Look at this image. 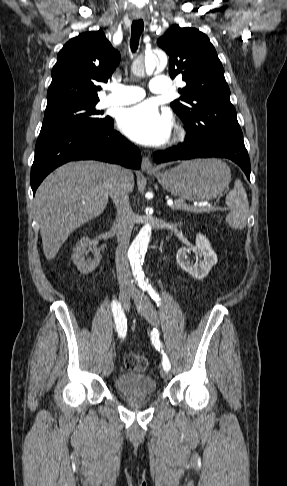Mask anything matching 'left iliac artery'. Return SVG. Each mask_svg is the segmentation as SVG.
<instances>
[{
    "label": "left iliac artery",
    "instance_id": "1",
    "mask_svg": "<svg viewBox=\"0 0 287 486\" xmlns=\"http://www.w3.org/2000/svg\"><path fill=\"white\" fill-rule=\"evenodd\" d=\"M145 289L148 291V293L150 294L151 298L155 300L157 306H160L161 305V303H160V297L157 294V292L151 286H147ZM151 335H152V338L151 339H152L153 345L155 346V348L157 350L160 351V349H162V343H161V341L159 339L158 331L157 330H153V332H152ZM162 354H163L162 366H163L164 370H170V368H171L170 361H169L167 355L163 353V351H162Z\"/></svg>",
    "mask_w": 287,
    "mask_h": 486
}]
</instances>
